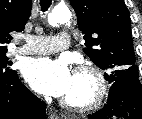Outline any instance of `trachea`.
I'll return each instance as SVG.
<instances>
[{
    "instance_id": "1",
    "label": "trachea",
    "mask_w": 142,
    "mask_h": 119,
    "mask_svg": "<svg viewBox=\"0 0 142 119\" xmlns=\"http://www.w3.org/2000/svg\"><path fill=\"white\" fill-rule=\"evenodd\" d=\"M51 3H52V0H40L41 10L43 12L47 11Z\"/></svg>"
}]
</instances>
